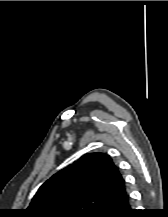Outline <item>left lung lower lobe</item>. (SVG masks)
<instances>
[{
    "label": "left lung lower lobe",
    "mask_w": 168,
    "mask_h": 217,
    "mask_svg": "<svg viewBox=\"0 0 168 217\" xmlns=\"http://www.w3.org/2000/svg\"><path fill=\"white\" fill-rule=\"evenodd\" d=\"M135 210L131 208L129 194L126 188L111 198L105 210L98 217H134Z\"/></svg>",
    "instance_id": "0a47b994"
}]
</instances>
